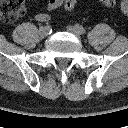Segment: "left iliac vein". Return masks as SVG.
I'll use <instances>...</instances> for the list:
<instances>
[{"label":"left iliac vein","instance_id":"4c4485c4","mask_svg":"<svg viewBox=\"0 0 128 128\" xmlns=\"http://www.w3.org/2000/svg\"><path fill=\"white\" fill-rule=\"evenodd\" d=\"M67 30L72 33L73 35H75L76 37L80 38L81 34L80 32L76 29V27L74 26H68Z\"/></svg>","mask_w":128,"mask_h":128}]
</instances>
